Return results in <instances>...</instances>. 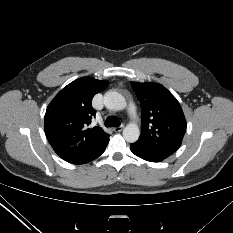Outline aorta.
<instances>
[{
	"mask_svg": "<svg viewBox=\"0 0 233 233\" xmlns=\"http://www.w3.org/2000/svg\"><path fill=\"white\" fill-rule=\"evenodd\" d=\"M104 104L111 110H123L127 103L125 98L116 91H108L104 95ZM140 136V130L137 124L129 123L123 130V137L127 142L133 143L138 140Z\"/></svg>",
	"mask_w": 233,
	"mask_h": 233,
	"instance_id": "obj_1",
	"label": "aorta"
}]
</instances>
